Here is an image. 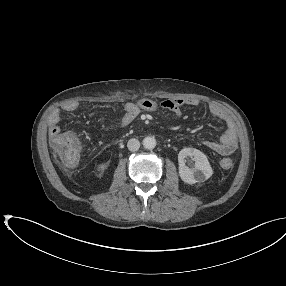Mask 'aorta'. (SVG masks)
<instances>
[{"instance_id": "obj_1", "label": "aorta", "mask_w": 286, "mask_h": 286, "mask_svg": "<svg viewBox=\"0 0 286 286\" xmlns=\"http://www.w3.org/2000/svg\"><path fill=\"white\" fill-rule=\"evenodd\" d=\"M143 146L145 149L151 150L156 146V140L154 137L148 136L143 139Z\"/></svg>"}]
</instances>
